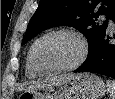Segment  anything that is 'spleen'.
<instances>
[{
  "instance_id": "spleen-1",
  "label": "spleen",
  "mask_w": 115,
  "mask_h": 99,
  "mask_svg": "<svg viewBox=\"0 0 115 99\" xmlns=\"http://www.w3.org/2000/svg\"><path fill=\"white\" fill-rule=\"evenodd\" d=\"M106 83L111 99H115V81L107 80Z\"/></svg>"
}]
</instances>
